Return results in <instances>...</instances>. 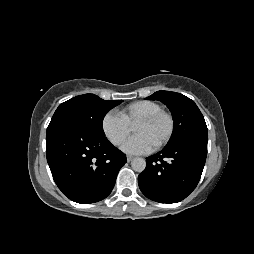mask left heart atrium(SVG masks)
Returning <instances> with one entry per match:
<instances>
[{"label":"left heart atrium","mask_w":254,"mask_h":254,"mask_svg":"<svg viewBox=\"0 0 254 254\" xmlns=\"http://www.w3.org/2000/svg\"><path fill=\"white\" fill-rule=\"evenodd\" d=\"M154 148L152 142L142 134H136L124 142L122 150L128 154H144Z\"/></svg>","instance_id":"1"}]
</instances>
